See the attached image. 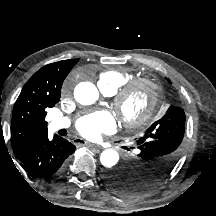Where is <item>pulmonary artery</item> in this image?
Segmentation results:
<instances>
[{
	"mask_svg": "<svg viewBox=\"0 0 216 216\" xmlns=\"http://www.w3.org/2000/svg\"><path fill=\"white\" fill-rule=\"evenodd\" d=\"M100 89L102 90L101 86L99 85ZM103 91V90H102ZM105 92V91H104ZM106 94L110 95V93L105 92ZM70 125V120L66 117H56L53 118L50 122V128L54 131L68 128Z\"/></svg>",
	"mask_w": 216,
	"mask_h": 216,
	"instance_id": "e3ab8cb5",
	"label": "pulmonary artery"
}]
</instances>
